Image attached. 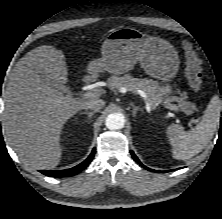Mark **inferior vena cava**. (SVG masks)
Segmentation results:
<instances>
[{
    "mask_svg": "<svg viewBox=\"0 0 222 219\" xmlns=\"http://www.w3.org/2000/svg\"><path fill=\"white\" fill-rule=\"evenodd\" d=\"M103 106L104 102L102 100L95 99L85 103L83 109H91L94 110L95 112H98Z\"/></svg>",
    "mask_w": 222,
    "mask_h": 219,
    "instance_id": "1",
    "label": "inferior vena cava"
}]
</instances>
